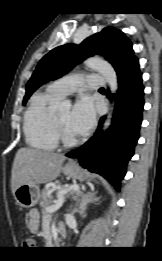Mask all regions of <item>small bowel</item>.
<instances>
[{
  "instance_id": "1",
  "label": "small bowel",
  "mask_w": 162,
  "mask_h": 261,
  "mask_svg": "<svg viewBox=\"0 0 162 261\" xmlns=\"http://www.w3.org/2000/svg\"><path fill=\"white\" fill-rule=\"evenodd\" d=\"M39 226V214L36 210H32L29 214V227L32 231L37 232L39 230Z\"/></svg>"
}]
</instances>
